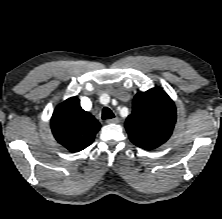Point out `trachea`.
<instances>
[{
  "instance_id": "3493384b",
  "label": "trachea",
  "mask_w": 222,
  "mask_h": 219,
  "mask_svg": "<svg viewBox=\"0 0 222 219\" xmlns=\"http://www.w3.org/2000/svg\"><path fill=\"white\" fill-rule=\"evenodd\" d=\"M115 115L113 114V112L108 108L105 107L102 111V119H111L114 118Z\"/></svg>"
}]
</instances>
